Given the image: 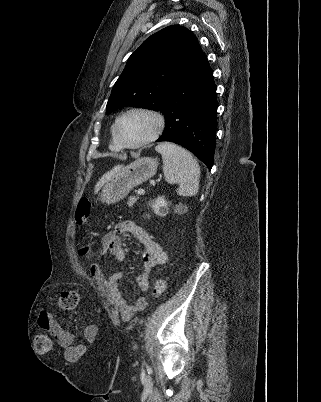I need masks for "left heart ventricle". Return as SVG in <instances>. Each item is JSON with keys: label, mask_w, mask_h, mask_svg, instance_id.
<instances>
[{"label": "left heart ventricle", "mask_w": 321, "mask_h": 402, "mask_svg": "<svg viewBox=\"0 0 321 402\" xmlns=\"http://www.w3.org/2000/svg\"><path fill=\"white\" fill-rule=\"evenodd\" d=\"M155 121L142 113H133L123 118L119 124V135L128 144H135L152 134Z\"/></svg>", "instance_id": "obj_1"}]
</instances>
